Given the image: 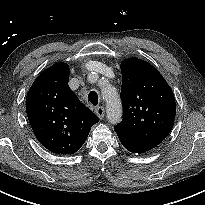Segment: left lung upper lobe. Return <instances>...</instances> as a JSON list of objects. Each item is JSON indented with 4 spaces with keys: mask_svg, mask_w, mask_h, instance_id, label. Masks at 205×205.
I'll use <instances>...</instances> for the list:
<instances>
[{
    "mask_svg": "<svg viewBox=\"0 0 205 205\" xmlns=\"http://www.w3.org/2000/svg\"><path fill=\"white\" fill-rule=\"evenodd\" d=\"M123 119L115 126L159 145L170 133L176 115L173 92L150 63L129 58L121 64Z\"/></svg>",
    "mask_w": 205,
    "mask_h": 205,
    "instance_id": "1",
    "label": "left lung upper lobe"
}]
</instances>
